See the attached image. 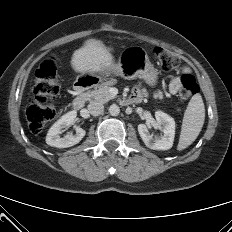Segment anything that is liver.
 <instances>
[{"label":"liver","instance_id":"obj_1","mask_svg":"<svg viewBox=\"0 0 232 232\" xmlns=\"http://www.w3.org/2000/svg\"><path fill=\"white\" fill-rule=\"evenodd\" d=\"M113 57L104 44L96 39H88L84 45L75 50L71 58V66L79 73L98 72L113 64Z\"/></svg>","mask_w":232,"mask_h":232}]
</instances>
